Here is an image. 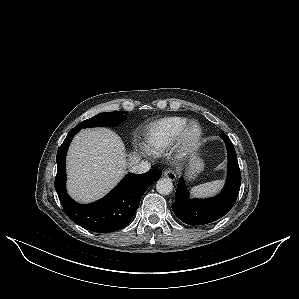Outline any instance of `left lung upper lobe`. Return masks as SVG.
Listing matches in <instances>:
<instances>
[{"label": "left lung upper lobe", "mask_w": 299, "mask_h": 299, "mask_svg": "<svg viewBox=\"0 0 299 299\" xmlns=\"http://www.w3.org/2000/svg\"><path fill=\"white\" fill-rule=\"evenodd\" d=\"M223 134L226 135L224 132H222V135H223ZM226 136H227V135H226Z\"/></svg>", "instance_id": "obj_1"}]
</instances>
